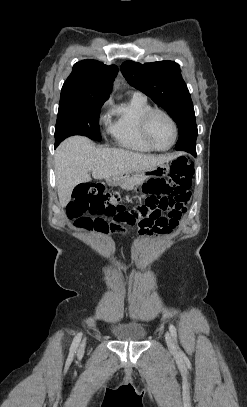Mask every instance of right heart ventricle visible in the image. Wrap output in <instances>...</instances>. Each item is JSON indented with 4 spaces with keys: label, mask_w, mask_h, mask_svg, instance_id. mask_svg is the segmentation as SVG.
Returning <instances> with one entry per match:
<instances>
[{
    "label": "right heart ventricle",
    "mask_w": 247,
    "mask_h": 407,
    "mask_svg": "<svg viewBox=\"0 0 247 407\" xmlns=\"http://www.w3.org/2000/svg\"><path fill=\"white\" fill-rule=\"evenodd\" d=\"M151 108L145 97L133 96L127 103L111 109L107 131L118 146L139 153L152 151L140 133V120Z\"/></svg>",
    "instance_id": "1"
}]
</instances>
